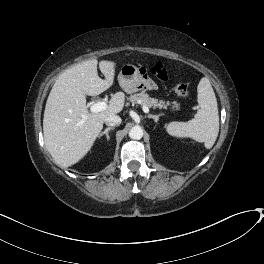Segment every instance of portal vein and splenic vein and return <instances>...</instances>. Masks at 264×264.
<instances>
[{
  "instance_id": "obj_1",
  "label": "portal vein and splenic vein",
  "mask_w": 264,
  "mask_h": 264,
  "mask_svg": "<svg viewBox=\"0 0 264 264\" xmlns=\"http://www.w3.org/2000/svg\"><path fill=\"white\" fill-rule=\"evenodd\" d=\"M106 108H107V104L105 102L98 101V102L92 103L90 107V111L92 113H98V112L104 111ZM143 111L145 113H149V108L147 106H144ZM85 119H86V116L83 117L80 123L83 124Z\"/></svg>"
}]
</instances>
